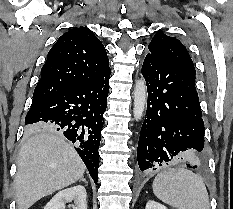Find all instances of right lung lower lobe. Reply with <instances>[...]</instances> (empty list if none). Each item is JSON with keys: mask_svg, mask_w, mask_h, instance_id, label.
I'll return each mask as SVG.
<instances>
[{"mask_svg": "<svg viewBox=\"0 0 233 209\" xmlns=\"http://www.w3.org/2000/svg\"><path fill=\"white\" fill-rule=\"evenodd\" d=\"M110 69L99 77L32 104L25 124L49 125L74 143L94 182L98 181V148L109 92Z\"/></svg>", "mask_w": 233, "mask_h": 209, "instance_id": "1", "label": "right lung lower lobe"}]
</instances>
